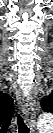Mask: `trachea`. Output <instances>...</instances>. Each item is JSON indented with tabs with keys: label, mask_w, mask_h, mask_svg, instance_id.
Returning a JSON list of instances; mask_svg holds the SVG:
<instances>
[{
	"label": "trachea",
	"mask_w": 53,
	"mask_h": 133,
	"mask_svg": "<svg viewBox=\"0 0 53 133\" xmlns=\"http://www.w3.org/2000/svg\"><path fill=\"white\" fill-rule=\"evenodd\" d=\"M17 124H18V132L19 133H29V128L24 122V119L21 115L17 118Z\"/></svg>",
	"instance_id": "trachea-1"
}]
</instances>
